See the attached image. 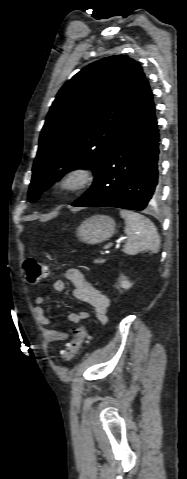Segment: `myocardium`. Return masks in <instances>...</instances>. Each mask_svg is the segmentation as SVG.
Listing matches in <instances>:
<instances>
[{"label":"myocardium","mask_w":187,"mask_h":479,"mask_svg":"<svg viewBox=\"0 0 187 479\" xmlns=\"http://www.w3.org/2000/svg\"><path fill=\"white\" fill-rule=\"evenodd\" d=\"M92 180L93 174L90 169L74 166L61 173L54 183V189L60 195H71L86 189Z\"/></svg>","instance_id":"f54148a6"}]
</instances>
